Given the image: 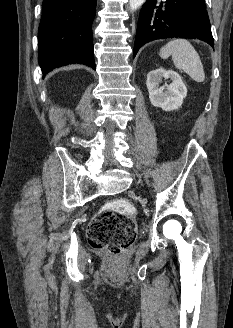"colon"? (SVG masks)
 Here are the masks:
<instances>
[{
    "label": "colon",
    "mask_w": 233,
    "mask_h": 328,
    "mask_svg": "<svg viewBox=\"0 0 233 328\" xmlns=\"http://www.w3.org/2000/svg\"><path fill=\"white\" fill-rule=\"evenodd\" d=\"M135 207L125 199L108 202L91 220L87 237L96 250L121 255L135 240Z\"/></svg>",
    "instance_id": "obj_1"
}]
</instances>
